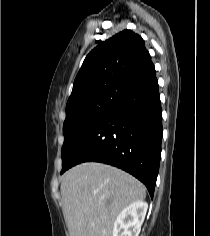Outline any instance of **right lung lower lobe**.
<instances>
[{"mask_svg": "<svg viewBox=\"0 0 210 236\" xmlns=\"http://www.w3.org/2000/svg\"><path fill=\"white\" fill-rule=\"evenodd\" d=\"M162 134V110L154 72L124 91L86 135L61 174L82 162H102L138 178L153 197Z\"/></svg>", "mask_w": 210, "mask_h": 236, "instance_id": "right-lung-lower-lobe-1", "label": "right lung lower lobe"}]
</instances>
